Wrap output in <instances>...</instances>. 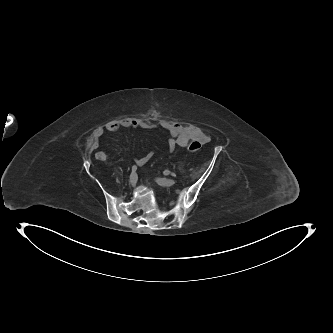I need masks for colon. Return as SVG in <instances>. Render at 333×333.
Here are the masks:
<instances>
[{"label":"colon","instance_id":"5ec220e1","mask_svg":"<svg viewBox=\"0 0 333 333\" xmlns=\"http://www.w3.org/2000/svg\"><path fill=\"white\" fill-rule=\"evenodd\" d=\"M201 147H202V143L199 140H194L190 143L188 149L191 152H196V151L200 150Z\"/></svg>","mask_w":333,"mask_h":333}]
</instances>
